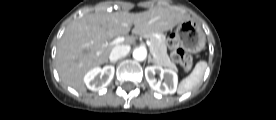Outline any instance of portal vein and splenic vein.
<instances>
[{
	"instance_id": "obj_1",
	"label": "portal vein and splenic vein",
	"mask_w": 276,
	"mask_h": 120,
	"mask_svg": "<svg viewBox=\"0 0 276 120\" xmlns=\"http://www.w3.org/2000/svg\"><path fill=\"white\" fill-rule=\"evenodd\" d=\"M123 41H124V38H123V37H117V38H115L113 41L106 43L105 46H106V47H108V46H113V45L119 44V43H121V42H123ZM147 45L149 46L150 51H151V49H152L151 42H148Z\"/></svg>"
}]
</instances>
